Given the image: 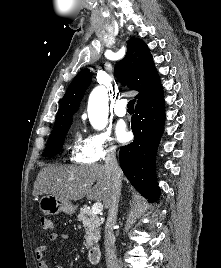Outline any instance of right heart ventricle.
Masks as SVG:
<instances>
[{
  "instance_id": "e07e8e85",
  "label": "right heart ventricle",
  "mask_w": 221,
  "mask_h": 268,
  "mask_svg": "<svg viewBox=\"0 0 221 268\" xmlns=\"http://www.w3.org/2000/svg\"><path fill=\"white\" fill-rule=\"evenodd\" d=\"M71 161L79 164H90L93 160L87 148V141L83 140L79 133H76L70 146Z\"/></svg>"
}]
</instances>
